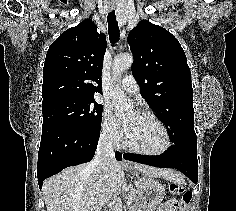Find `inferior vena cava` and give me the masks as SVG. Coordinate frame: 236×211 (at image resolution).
<instances>
[{
    "mask_svg": "<svg viewBox=\"0 0 236 211\" xmlns=\"http://www.w3.org/2000/svg\"><path fill=\"white\" fill-rule=\"evenodd\" d=\"M113 136L103 133L100 136L94 159L90 162L89 168L104 170L114 160Z\"/></svg>",
    "mask_w": 236,
    "mask_h": 211,
    "instance_id": "inferior-vena-cava-1",
    "label": "inferior vena cava"
}]
</instances>
